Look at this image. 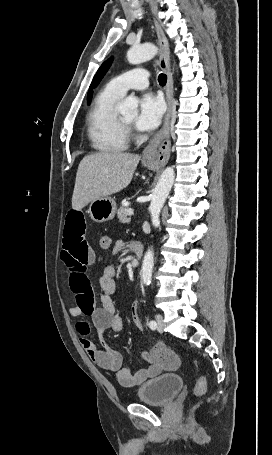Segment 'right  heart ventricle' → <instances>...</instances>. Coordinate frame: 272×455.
<instances>
[{"mask_svg": "<svg viewBox=\"0 0 272 455\" xmlns=\"http://www.w3.org/2000/svg\"><path fill=\"white\" fill-rule=\"evenodd\" d=\"M122 96L103 89L95 98L86 119L91 147L100 153H120L128 147V136L119 123L116 104Z\"/></svg>", "mask_w": 272, "mask_h": 455, "instance_id": "1", "label": "right heart ventricle"}]
</instances>
